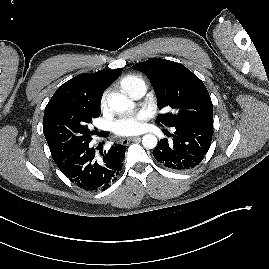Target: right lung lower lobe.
I'll list each match as a JSON object with an SVG mask.
<instances>
[{
  "instance_id": "1",
  "label": "right lung lower lobe",
  "mask_w": 269,
  "mask_h": 269,
  "mask_svg": "<svg viewBox=\"0 0 269 269\" xmlns=\"http://www.w3.org/2000/svg\"><path fill=\"white\" fill-rule=\"evenodd\" d=\"M126 147L114 144L108 151L96 155L90 142L83 143L61 157L55 163L71 182L87 191L104 190L114 182L123 165Z\"/></svg>"
}]
</instances>
